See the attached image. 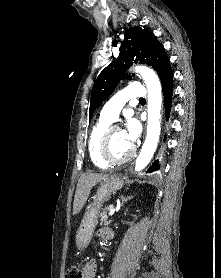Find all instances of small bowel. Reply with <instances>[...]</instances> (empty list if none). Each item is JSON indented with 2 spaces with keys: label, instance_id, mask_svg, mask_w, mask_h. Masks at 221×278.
I'll return each instance as SVG.
<instances>
[{
  "label": "small bowel",
  "instance_id": "obj_1",
  "mask_svg": "<svg viewBox=\"0 0 221 278\" xmlns=\"http://www.w3.org/2000/svg\"><path fill=\"white\" fill-rule=\"evenodd\" d=\"M100 233L103 237H105L108 233L113 234L110 229H101ZM83 271L85 273V278H94L97 272V262L95 260L87 261L83 266Z\"/></svg>",
  "mask_w": 221,
  "mask_h": 278
}]
</instances>
